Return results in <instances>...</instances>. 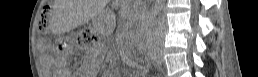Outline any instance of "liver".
Listing matches in <instances>:
<instances>
[{"mask_svg":"<svg viewBox=\"0 0 258 77\" xmlns=\"http://www.w3.org/2000/svg\"><path fill=\"white\" fill-rule=\"evenodd\" d=\"M54 8L56 16L70 28L83 23L93 15L87 2L79 0H56Z\"/></svg>","mask_w":258,"mask_h":77,"instance_id":"6515ba94","label":"liver"}]
</instances>
